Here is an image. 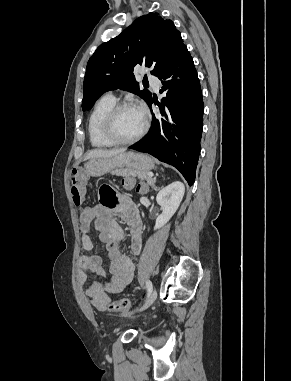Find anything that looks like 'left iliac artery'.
Masks as SVG:
<instances>
[{
	"instance_id": "1",
	"label": "left iliac artery",
	"mask_w": 291,
	"mask_h": 381,
	"mask_svg": "<svg viewBox=\"0 0 291 381\" xmlns=\"http://www.w3.org/2000/svg\"><path fill=\"white\" fill-rule=\"evenodd\" d=\"M146 287H147L148 296H149L150 293L152 292V289H153V285H152V282L150 280H146Z\"/></svg>"
}]
</instances>
